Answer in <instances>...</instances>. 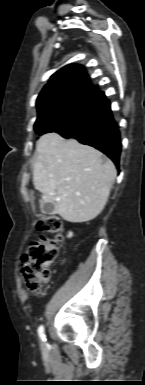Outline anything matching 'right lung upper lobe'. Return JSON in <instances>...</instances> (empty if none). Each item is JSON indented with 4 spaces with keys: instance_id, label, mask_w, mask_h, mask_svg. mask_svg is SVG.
I'll return each instance as SVG.
<instances>
[{
    "instance_id": "obj_1",
    "label": "right lung upper lobe",
    "mask_w": 145,
    "mask_h": 385,
    "mask_svg": "<svg viewBox=\"0 0 145 385\" xmlns=\"http://www.w3.org/2000/svg\"><path fill=\"white\" fill-rule=\"evenodd\" d=\"M78 90L102 93L93 87L81 65H67L51 76L39 94L36 104L39 106L55 96Z\"/></svg>"
}]
</instances>
